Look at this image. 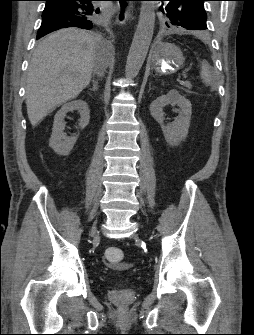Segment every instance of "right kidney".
I'll return each mask as SVG.
<instances>
[{
    "mask_svg": "<svg viewBox=\"0 0 254 335\" xmlns=\"http://www.w3.org/2000/svg\"><path fill=\"white\" fill-rule=\"evenodd\" d=\"M78 110L80 113L79 127L84 129L90 119V110L88 103L83 100H75L64 104L54 117L51 138L49 146L59 155H68L77 141V136L68 137L64 133V118L68 112Z\"/></svg>",
    "mask_w": 254,
    "mask_h": 335,
    "instance_id": "ca27d5eb",
    "label": "right kidney"
}]
</instances>
